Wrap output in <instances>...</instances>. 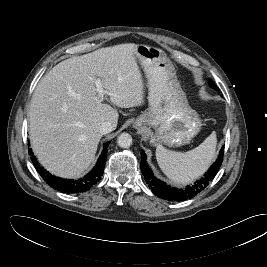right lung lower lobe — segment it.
Wrapping results in <instances>:
<instances>
[{
  "label": "right lung lower lobe",
  "instance_id": "1",
  "mask_svg": "<svg viewBox=\"0 0 267 267\" xmlns=\"http://www.w3.org/2000/svg\"><path fill=\"white\" fill-rule=\"evenodd\" d=\"M109 144L110 142L104 144L103 151L93 170L90 173H88L85 177L79 180L61 179L51 175L44 168H42L40 164L35 160V157L33 156L31 149H29V155H31V160L36 170L49 186L63 193H78L89 190L92 185H94L101 179L106 163L107 151H108L107 147ZM28 146L30 145L28 144Z\"/></svg>",
  "mask_w": 267,
  "mask_h": 267
}]
</instances>
